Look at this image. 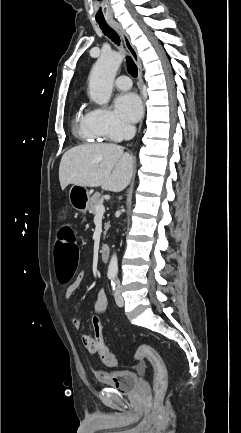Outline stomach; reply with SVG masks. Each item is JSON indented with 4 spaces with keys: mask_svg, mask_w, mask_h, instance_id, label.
<instances>
[{
    "mask_svg": "<svg viewBox=\"0 0 241 433\" xmlns=\"http://www.w3.org/2000/svg\"><path fill=\"white\" fill-rule=\"evenodd\" d=\"M90 199V193L84 186L73 185L69 190L70 204L78 212H87Z\"/></svg>",
    "mask_w": 241,
    "mask_h": 433,
    "instance_id": "obj_1",
    "label": "stomach"
}]
</instances>
